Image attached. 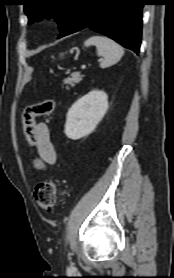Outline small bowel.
<instances>
[{
	"label": "small bowel",
	"instance_id": "obj_1",
	"mask_svg": "<svg viewBox=\"0 0 174 278\" xmlns=\"http://www.w3.org/2000/svg\"><path fill=\"white\" fill-rule=\"evenodd\" d=\"M37 133V153L38 158L35 162L36 167L44 168L47 165H53L56 162L57 155L54 145L51 141L50 130L46 123L36 124Z\"/></svg>",
	"mask_w": 174,
	"mask_h": 278
}]
</instances>
